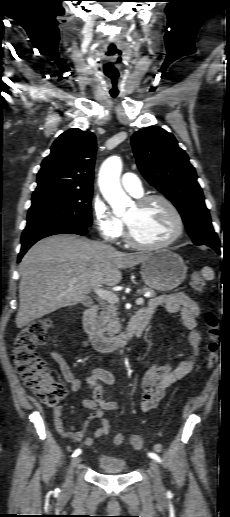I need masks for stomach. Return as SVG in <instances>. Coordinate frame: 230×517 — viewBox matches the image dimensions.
Wrapping results in <instances>:
<instances>
[{
  "label": "stomach",
  "mask_w": 230,
  "mask_h": 517,
  "mask_svg": "<svg viewBox=\"0 0 230 517\" xmlns=\"http://www.w3.org/2000/svg\"><path fill=\"white\" fill-rule=\"evenodd\" d=\"M140 273L148 287L167 292L184 281L187 267L181 256L168 249H160L149 253Z\"/></svg>",
  "instance_id": "stomach-1"
}]
</instances>
